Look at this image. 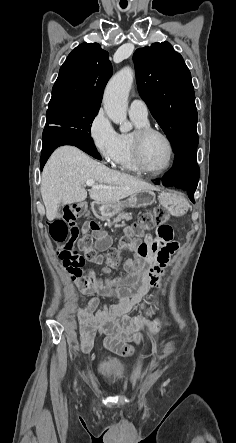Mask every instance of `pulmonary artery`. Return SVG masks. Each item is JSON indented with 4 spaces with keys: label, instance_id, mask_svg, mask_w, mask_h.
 <instances>
[{
    "label": "pulmonary artery",
    "instance_id": "e3ab8cb5",
    "mask_svg": "<svg viewBox=\"0 0 236 443\" xmlns=\"http://www.w3.org/2000/svg\"><path fill=\"white\" fill-rule=\"evenodd\" d=\"M129 115L131 117L147 120L148 118V107L147 104L139 98H135L131 101L129 106Z\"/></svg>",
    "mask_w": 236,
    "mask_h": 443
}]
</instances>
